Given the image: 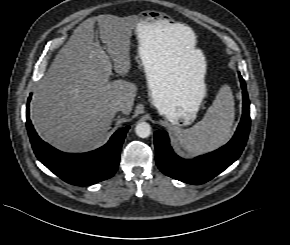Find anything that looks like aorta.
Wrapping results in <instances>:
<instances>
[{"instance_id":"aorta-1","label":"aorta","mask_w":290,"mask_h":245,"mask_svg":"<svg viewBox=\"0 0 290 245\" xmlns=\"http://www.w3.org/2000/svg\"><path fill=\"white\" fill-rule=\"evenodd\" d=\"M136 135L140 138H147L151 135V126L147 122H139L135 128Z\"/></svg>"}]
</instances>
